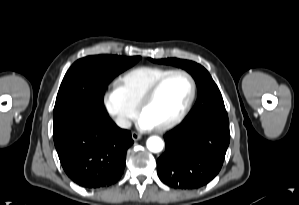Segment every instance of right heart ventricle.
<instances>
[{"label":"right heart ventricle","instance_id":"obj_1","mask_svg":"<svg viewBox=\"0 0 299 205\" xmlns=\"http://www.w3.org/2000/svg\"><path fill=\"white\" fill-rule=\"evenodd\" d=\"M172 69L158 66H139L122 74L116 81L126 100L138 107L145 92L160 77Z\"/></svg>","mask_w":299,"mask_h":205}]
</instances>
